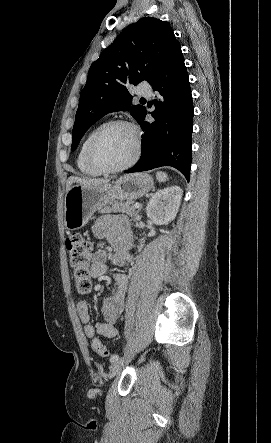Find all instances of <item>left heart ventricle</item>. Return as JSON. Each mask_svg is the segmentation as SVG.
I'll list each match as a JSON object with an SVG mask.
<instances>
[{"mask_svg": "<svg viewBox=\"0 0 271 443\" xmlns=\"http://www.w3.org/2000/svg\"><path fill=\"white\" fill-rule=\"evenodd\" d=\"M134 139L130 130L117 126L109 129L97 142L94 154L105 166L117 167L124 164L133 154Z\"/></svg>", "mask_w": 271, "mask_h": 443, "instance_id": "obj_1", "label": "left heart ventricle"}]
</instances>
